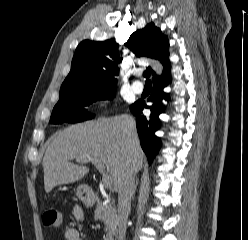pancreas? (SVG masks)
Segmentation results:
<instances>
[{
  "label": "pancreas",
  "instance_id": "cf45deb5",
  "mask_svg": "<svg viewBox=\"0 0 248 240\" xmlns=\"http://www.w3.org/2000/svg\"><path fill=\"white\" fill-rule=\"evenodd\" d=\"M94 215L96 219L102 220L105 224V240H114V236L117 233L118 225L115 206L110 203L103 205L102 202H99L94 211Z\"/></svg>",
  "mask_w": 248,
  "mask_h": 240
}]
</instances>
